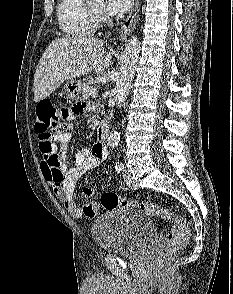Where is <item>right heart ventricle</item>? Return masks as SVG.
Here are the masks:
<instances>
[{
  "instance_id": "1",
  "label": "right heart ventricle",
  "mask_w": 233,
  "mask_h": 294,
  "mask_svg": "<svg viewBox=\"0 0 233 294\" xmlns=\"http://www.w3.org/2000/svg\"><path fill=\"white\" fill-rule=\"evenodd\" d=\"M57 16L61 30L69 37L85 38L95 31L96 23L85 0H59Z\"/></svg>"
}]
</instances>
